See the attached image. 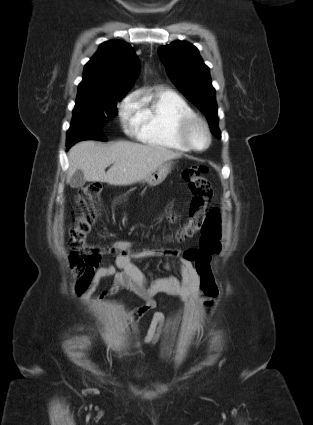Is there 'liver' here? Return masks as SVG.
Returning <instances> with one entry per match:
<instances>
[{
  "instance_id": "liver-1",
  "label": "liver",
  "mask_w": 313,
  "mask_h": 425,
  "mask_svg": "<svg viewBox=\"0 0 313 425\" xmlns=\"http://www.w3.org/2000/svg\"><path fill=\"white\" fill-rule=\"evenodd\" d=\"M181 154L167 148L119 141L112 145L83 141L74 145L69 153L67 183L77 170L89 182L110 185H129L146 178L162 163L180 158ZM112 165L107 172L105 169Z\"/></svg>"
}]
</instances>
